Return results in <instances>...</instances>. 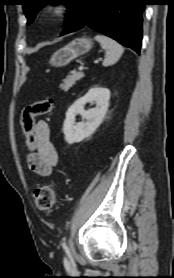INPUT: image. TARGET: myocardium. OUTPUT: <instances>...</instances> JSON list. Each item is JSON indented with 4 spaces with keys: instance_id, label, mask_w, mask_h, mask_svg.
<instances>
[{
    "instance_id": "f54148a6",
    "label": "myocardium",
    "mask_w": 174,
    "mask_h": 278,
    "mask_svg": "<svg viewBox=\"0 0 174 278\" xmlns=\"http://www.w3.org/2000/svg\"><path fill=\"white\" fill-rule=\"evenodd\" d=\"M70 11L71 6L66 4H53L48 5L45 8L46 16L55 21L64 19L65 17H67Z\"/></svg>"
}]
</instances>
